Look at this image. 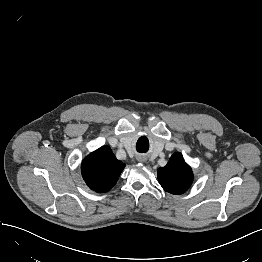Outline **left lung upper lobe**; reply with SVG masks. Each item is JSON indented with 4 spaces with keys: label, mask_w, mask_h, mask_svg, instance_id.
<instances>
[{
    "label": "left lung upper lobe",
    "mask_w": 262,
    "mask_h": 262,
    "mask_svg": "<svg viewBox=\"0 0 262 262\" xmlns=\"http://www.w3.org/2000/svg\"><path fill=\"white\" fill-rule=\"evenodd\" d=\"M193 174L180 153H174L167 165L158 169V181L163 189L172 194H182L191 185Z\"/></svg>",
    "instance_id": "left-lung-upper-lobe-1"
}]
</instances>
